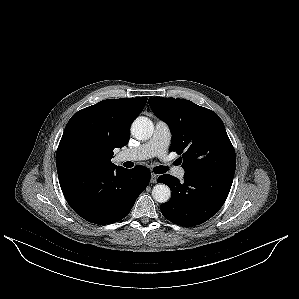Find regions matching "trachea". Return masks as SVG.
<instances>
[{
    "mask_svg": "<svg viewBox=\"0 0 299 299\" xmlns=\"http://www.w3.org/2000/svg\"><path fill=\"white\" fill-rule=\"evenodd\" d=\"M153 171L156 173V174H162V173H165L167 171V168L165 166H157L153 169Z\"/></svg>",
    "mask_w": 299,
    "mask_h": 299,
    "instance_id": "1",
    "label": "trachea"
}]
</instances>
